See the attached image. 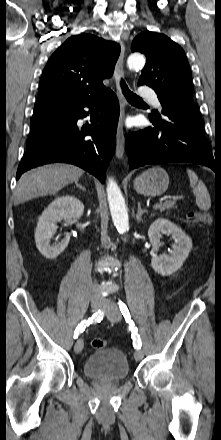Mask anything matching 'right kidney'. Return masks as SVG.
<instances>
[{"label":"right kidney","instance_id":"ca27d5eb","mask_svg":"<svg viewBox=\"0 0 221 440\" xmlns=\"http://www.w3.org/2000/svg\"><path fill=\"white\" fill-rule=\"evenodd\" d=\"M84 205L74 196L66 195L56 198L39 217L35 231V242L40 253L47 259H55L67 247L70 236L66 235L61 242L50 245L56 224L61 220L79 218L83 215Z\"/></svg>","mask_w":221,"mask_h":440}]
</instances>
